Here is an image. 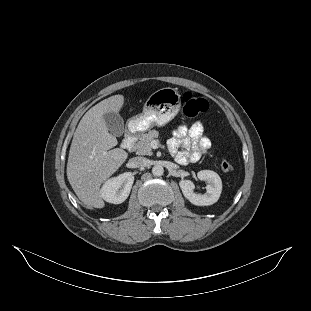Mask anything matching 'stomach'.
<instances>
[{"label": "stomach", "mask_w": 311, "mask_h": 311, "mask_svg": "<svg viewBox=\"0 0 311 311\" xmlns=\"http://www.w3.org/2000/svg\"><path fill=\"white\" fill-rule=\"evenodd\" d=\"M181 109V95L171 87L161 88L152 93L140 114L130 117L126 122L129 134L141 135L153 127H162L172 121Z\"/></svg>", "instance_id": "obj_1"}]
</instances>
